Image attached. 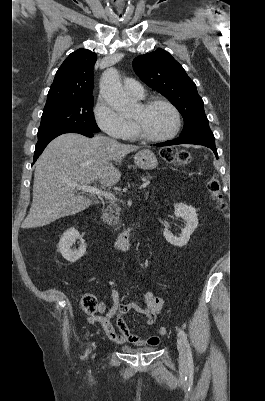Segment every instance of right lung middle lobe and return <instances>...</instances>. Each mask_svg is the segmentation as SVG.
<instances>
[{
  "instance_id": "1",
  "label": "right lung middle lobe",
  "mask_w": 265,
  "mask_h": 401,
  "mask_svg": "<svg viewBox=\"0 0 265 401\" xmlns=\"http://www.w3.org/2000/svg\"><path fill=\"white\" fill-rule=\"evenodd\" d=\"M93 103V96H84L45 105L38 137L56 129L99 132L92 112Z\"/></svg>"
}]
</instances>
